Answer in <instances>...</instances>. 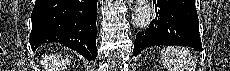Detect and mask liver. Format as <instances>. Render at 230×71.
<instances>
[{
  "label": "liver",
  "mask_w": 230,
  "mask_h": 71,
  "mask_svg": "<svg viewBox=\"0 0 230 71\" xmlns=\"http://www.w3.org/2000/svg\"><path fill=\"white\" fill-rule=\"evenodd\" d=\"M42 63L46 71H61L67 68L70 64V60L60 56H45Z\"/></svg>",
  "instance_id": "liver-1"
}]
</instances>
